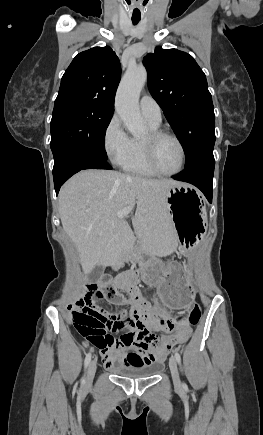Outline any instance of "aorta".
Here are the masks:
<instances>
[{
    "label": "aorta",
    "instance_id": "obj_1",
    "mask_svg": "<svg viewBox=\"0 0 263 435\" xmlns=\"http://www.w3.org/2000/svg\"><path fill=\"white\" fill-rule=\"evenodd\" d=\"M146 80L147 72L144 67L128 69L116 94V112L133 136L143 135L147 130L138 104L139 94Z\"/></svg>",
    "mask_w": 263,
    "mask_h": 435
}]
</instances>
